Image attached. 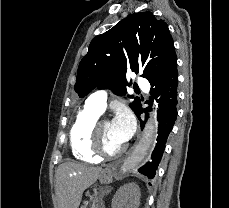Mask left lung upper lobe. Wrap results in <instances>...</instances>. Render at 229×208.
I'll use <instances>...</instances> for the list:
<instances>
[{
    "instance_id": "obj_1",
    "label": "left lung upper lobe",
    "mask_w": 229,
    "mask_h": 208,
    "mask_svg": "<svg viewBox=\"0 0 229 208\" xmlns=\"http://www.w3.org/2000/svg\"><path fill=\"white\" fill-rule=\"evenodd\" d=\"M175 61L168 25L150 11L134 13L91 41L79 64L74 90L81 98L96 87L124 95L126 85H130L126 81L128 71L137 74L143 68L142 77L155 84L167 75ZM129 106L136 112L140 99L136 97Z\"/></svg>"
}]
</instances>
